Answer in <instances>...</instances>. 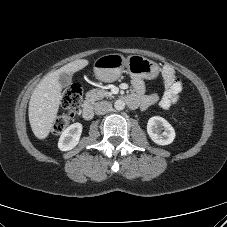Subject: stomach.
<instances>
[{"instance_id":"0dacf381","label":"stomach","mask_w":227,"mask_h":227,"mask_svg":"<svg viewBox=\"0 0 227 227\" xmlns=\"http://www.w3.org/2000/svg\"><path fill=\"white\" fill-rule=\"evenodd\" d=\"M95 76L104 82L117 80L124 69L130 76L137 78L153 79L159 73V66L152 60L140 55H131L124 58L120 54H106L94 62Z\"/></svg>"}]
</instances>
